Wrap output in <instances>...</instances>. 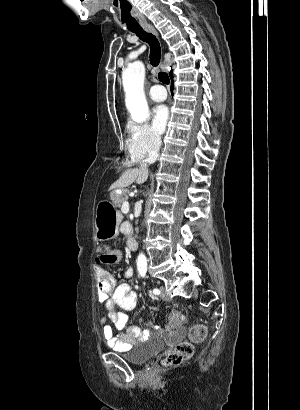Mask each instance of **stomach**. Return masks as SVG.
Here are the masks:
<instances>
[{"label":"stomach","instance_id":"0dacf381","mask_svg":"<svg viewBox=\"0 0 300 410\" xmlns=\"http://www.w3.org/2000/svg\"><path fill=\"white\" fill-rule=\"evenodd\" d=\"M116 197V192L111 193V199ZM117 205L112 202L102 201L96 209L95 216V236L98 241H105L115 238L119 233V224L122 220Z\"/></svg>","mask_w":300,"mask_h":410}]
</instances>
